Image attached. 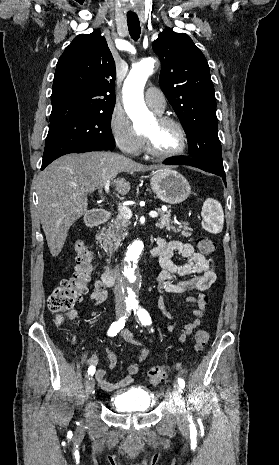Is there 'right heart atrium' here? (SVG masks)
<instances>
[{
	"label": "right heart atrium",
	"mask_w": 279,
	"mask_h": 465,
	"mask_svg": "<svg viewBox=\"0 0 279 465\" xmlns=\"http://www.w3.org/2000/svg\"><path fill=\"white\" fill-rule=\"evenodd\" d=\"M111 136L117 147L128 154H135L141 146L142 138L134 130L132 123L121 108H115L109 119Z\"/></svg>",
	"instance_id": "obj_1"
}]
</instances>
